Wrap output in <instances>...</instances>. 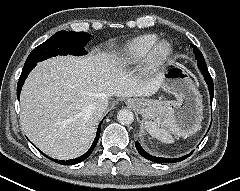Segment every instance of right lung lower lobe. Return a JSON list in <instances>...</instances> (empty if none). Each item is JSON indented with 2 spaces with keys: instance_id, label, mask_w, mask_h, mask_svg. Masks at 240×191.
<instances>
[{
  "instance_id": "98d812e1",
  "label": "right lung lower lobe",
  "mask_w": 240,
  "mask_h": 191,
  "mask_svg": "<svg viewBox=\"0 0 240 191\" xmlns=\"http://www.w3.org/2000/svg\"><path fill=\"white\" fill-rule=\"evenodd\" d=\"M36 65H29V66H24L23 67V70H22V73L19 77V81H18V84H17V98L19 100V96H20V92H21V89H22V86L24 84V81L25 79L27 78L28 74L31 72V70L35 67ZM102 123V122H101ZM101 123L99 124L98 126V129H97V133H96V137L94 139V142L91 146V148L85 153L83 154L82 156L78 157V158H75V159H71V160H67V161H58V160H55L56 162L62 164V165H74V164H78L80 162H82L83 160H85L87 157H89V155L91 154V152L94 150V148L96 147L97 145V142H98V139H99V136H100V128H101ZM43 154V153H42ZM46 156V155H45ZM49 159H51L49 157Z\"/></svg>"
}]
</instances>
